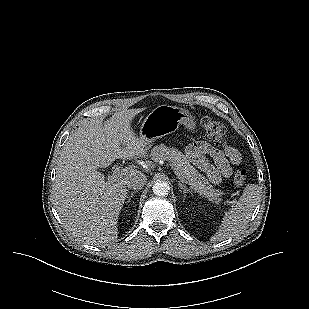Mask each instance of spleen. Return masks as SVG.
Wrapping results in <instances>:
<instances>
[{"mask_svg": "<svg viewBox=\"0 0 309 309\" xmlns=\"http://www.w3.org/2000/svg\"><path fill=\"white\" fill-rule=\"evenodd\" d=\"M260 197L259 186L248 184L242 196L225 215L221 221L218 231L211 238L212 241H223L231 238L242 231L248 224L252 213L258 204Z\"/></svg>", "mask_w": 309, "mask_h": 309, "instance_id": "obj_1", "label": "spleen"}]
</instances>
